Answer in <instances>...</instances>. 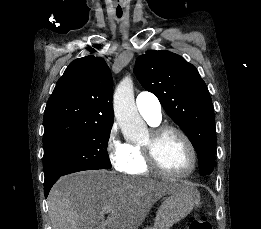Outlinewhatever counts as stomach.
Listing matches in <instances>:
<instances>
[{
	"mask_svg": "<svg viewBox=\"0 0 261 229\" xmlns=\"http://www.w3.org/2000/svg\"><path fill=\"white\" fill-rule=\"evenodd\" d=\"M174 187L170 197L162 203L156 217L153 227L149 229H170L174 223H179L185 219L195 205L200 201V193L189 181H169Z\"/></svg>",
	"mask_w": 261,
	"mask_h": 229,
	"instance_id": "stomach-1",
	"label": "stomach"
}]
</instances>
